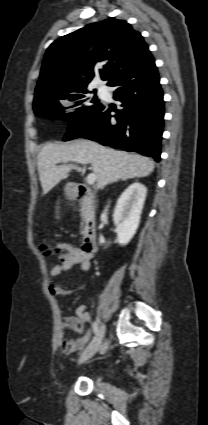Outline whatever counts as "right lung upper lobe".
Listing matches in <instances>:
<instances>
[{
  "label": "right lung upper lobe",
  "mask_w": 208,
  "mask_h": 425,
  "mask_svg": "<svg viewBox=\"0 0 208 425\" xmlns=\"http://www.w3.org/2000/svg\"><path fill=\"white\" fill-rule=\"evenodd\" d=\"M150 54L140 32L125 20L110 17L54 41L46 51L34 102L49 94L86 89L99 74L109 82ZM108 82V83H109Z\"/></svg>",
  "instance_id": "right-lung-upper-lobe-1"
}]
</instances>
